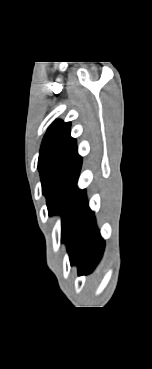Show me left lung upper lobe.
Instances as JSON below:
<instances>
[{
    "instance_id": "obj_1",
    "label": "left lung upper lobe",
    "mask_w": 152,
    "mask_h": 369,
    "mask_svg": "<svg viewBox=\"0 0 152 369\" xmlns=\"http://www.w3.org/2000/svg\"><path fill=\"white\" fill-rule=\"evenodd\" d=\"M70 129V122L55 121L43 139L38 160L49 215H61L62 240L80 193L77 180L82 157L78 155L76 139L70 136Z\"/></svg>"
}]
</instances>
